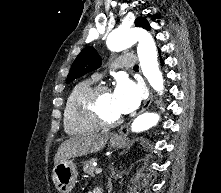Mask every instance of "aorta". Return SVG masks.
<instances>
[{
    "label": "aorta",
    "instance_id": "1",
    "mask_svg": "<svg viewBox=\"0 0 221 193\" xmlns=\"http://www.w3.org/2000/svg\"><path fill=\"white\" fill-rule=\"evenodd\" d=\"M138 42L137 53L141 70L154 90L162 94L164 81L157 61V48L152 36L139 28H118L107 38L111 51H122ZM160 117L157 113H144L135 118L131 124L132 132H141L157 124Z\"/></svg>",
    "mask_w": 221,
    "mask_h": 193
}]
</instances>
